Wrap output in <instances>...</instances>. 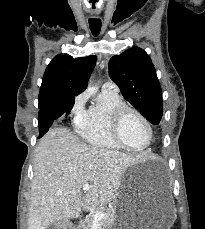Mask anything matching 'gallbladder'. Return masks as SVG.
Instances as JSON below:
<instances>
[{
    "instance_id": "1",
    "label": "gallbladder",
    "mask_w": 205,
    "mask_h": 229,
    "mask_svg": "<svg viewBox=\"0 0 205 229\" xmlns=\"http://www.w3.org/2000/svg\"><path fill=\"white\" fill-rule=\"evenodd\" d=\"M66 226H68L67 221H65V220H59V221H56V222L50 224L47 227V229H63Z\"/></svg>"
}]
</instances>
